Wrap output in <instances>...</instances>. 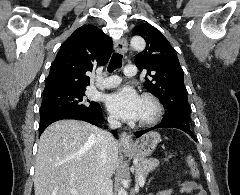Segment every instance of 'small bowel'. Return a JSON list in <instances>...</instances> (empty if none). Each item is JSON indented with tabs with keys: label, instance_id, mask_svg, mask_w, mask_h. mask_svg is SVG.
Segmentation results:
<instances>
[{
	"label": "small bowel",
	"instance_id": "1",
	"mask_svg": "<svg viewBox=\"0 0 240 195\" xmlns=\"http://www.w3.org/2000/svg\"><path fill=\"white\" fill-rule=\"evenodd\" d=\"M179 192L186 195H207L205 190L198 183L192 180H179ZM174 189L172 188H164L160 189L157 192L153 193V195H173Z\"/></svg>",
	"mask_w": 240,
	"mask_h": 195
}]
</instances>
